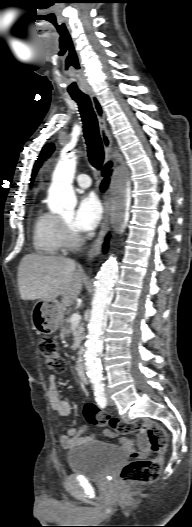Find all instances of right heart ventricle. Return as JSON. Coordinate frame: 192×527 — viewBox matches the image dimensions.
<instances>
[{
    "label": "right heart ventricle",
    "instance_id": "obj_1",
    "mask_svg": "<svg viewBox=\"0 0 192 527\" xmlns=\"http://www.w3.org/2000/svg\"><path fill=\"white\" fill-rule=\"evenodd\" d=\"M32 242L35 251L42 255H56L64 247L60 218L43 208L33 219Z\"/></svg>",
    "mask_w": 192,
    "mask_h": 527
}]
</instances>
